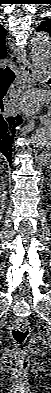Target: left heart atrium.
Segmentation results:
<instances>
[{
  "mask_svg": "<svg viewBox=\"0 0 51 393\" xmlns=\"http://www.w3.org/2000/svg\"><path fill=\"white\" fill-rule=\"evenodd\" d=\"M20 105L26 110H37L41 105V98L38 94L29 92L21 98Z\"/></svg>",
  "mask_w": 51,
  "mask_h": 393,
  "instance_id": "left-heart-atrium-1",
  "label": "left heart atrium"
}]
</instances>
